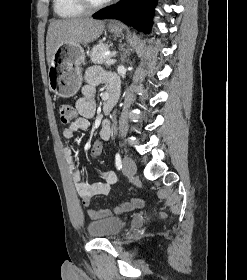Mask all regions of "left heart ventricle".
Segmentation results:
<instances>
[{
    "instance_id": "obj_1",
    "label": "left heart ventricle",
    "mask_w": 247,
    "mask_h": 280,
    "mask_svg": "<svg viewBox=\"0 0 247 280\" xmlns=\"http://www.w3.org/2000/svg\"><path fill=\"white\" fill-rule=\"evenodd\" d=\"M94 2H101V1H104V0H93Z\"/></svg>"
}]
</instances>
